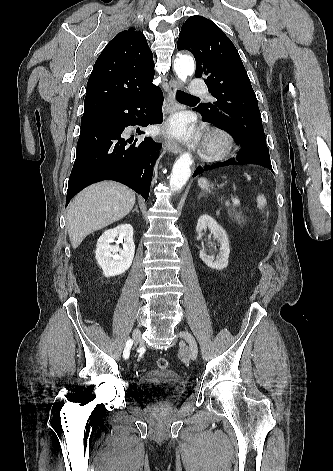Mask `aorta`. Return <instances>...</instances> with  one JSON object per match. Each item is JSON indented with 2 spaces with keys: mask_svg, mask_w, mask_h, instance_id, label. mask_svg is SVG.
Instances as JSON below:
<instances>
[{
  "mask_svg": "<svg viewBox=\"0 0 333 471\" xmlns=\"http://www.w3.org/2000/svg\"><path fill=\"white\" fill-rule=\"evenodd\" d=\"M195 70L194 60L190 56H179L174 62V71L183 82L188 76L193 75ZM193 159L190 153H183L175 162L171 177L170 187L174 191H179L188 181L191 175V165Z\"/></svg>",
  "mask_w": 333,
  "mask_h": 471,
  "instance_id": "obj_1",
  "label": "aorta"
}]
</instances>
